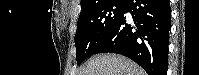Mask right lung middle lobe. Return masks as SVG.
Returning a JSON list of instances; mask_svg holds the SVG:
<instances>
[{
  "instance_id": "obj_1",
  "label": "right lung middle lobe",
  "mask_w": 199,
  "mask_h": 75,
  "mask_svg": "<svg viewBox=\"0 0 199 75\" xmlns=\"http://www.w3.org/2000/svg\"><path fill=\"white\" fill-rule=\"evenodd\" d=\"M127 0H105L81 11L75 34L76 59L80 65L92 55L123 15Z\"/></svg>"
}]
</instances>
